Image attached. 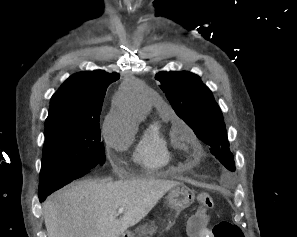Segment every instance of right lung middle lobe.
<instances>
[{
	"label": "right lung middle lobe",
	"mask_w": 297,
	"mask_h": 237,
	"mask_svg": "<svg viewBox=\"0 0 297 237\" xmlns=\"http://www.w3.org/2000/svg\"><path fill=\"white\" fill-rule=\"evenodd\" d=\"M45 127L39 191H55L104 164L99 121H61Z\"/></svg>",
	"instance_id": "dd1d6c3e"
}]
</instances>
